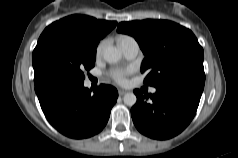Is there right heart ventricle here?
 I'll list each match as a JSON object with an SVG mask.
<instances>
[{
	"label": "right heart ventricle",
	"mask_w": 238,
	"mask_h": 158,
	"mask_svg": "<svg viewBox=\"0 0 238 158\" xmlns=\"http://www.w3.org/2000/svg\"><path fill=\"white\" fill-rule=\"evenodd\" d=\"M129 38H130L129 36H125L124 35V36H120L118 40H119V43L121 44L123 41H125V40H127Z\"/></svg>",
	"instance_id": "right-heart-ventricle-1"
}]
</instances>
